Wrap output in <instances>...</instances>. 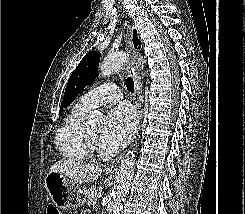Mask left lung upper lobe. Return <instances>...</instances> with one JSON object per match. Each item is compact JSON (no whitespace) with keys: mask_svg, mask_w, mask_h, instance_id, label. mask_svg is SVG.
<instances>
[{"mask_svg":"<svg viewBox=\"0 0 245 214\" xmlns=\"http://www.w3.org/2000/svg\"><path fill=\"white\" fill-rule=\"evenodd\" d=\"M100 53L91 51L81 60L78 67L73 71L65 89L60 111L71 104L79 93L90 85L98 75Z\"/></svg>","mask_w":245,"mask_h":214,"instance_id":"1","label":"left lung upper lobe"}]
</instances>
